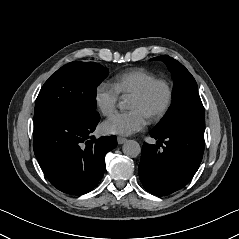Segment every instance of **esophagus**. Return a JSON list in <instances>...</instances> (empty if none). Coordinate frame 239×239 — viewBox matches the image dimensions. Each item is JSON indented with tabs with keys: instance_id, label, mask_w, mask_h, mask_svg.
<instances>
[{
	"instance_id": "obj_1",
	"label": "esophagus",
	"mask_w": 239,
	"mask_h": 239,
	"mask_svg": "<svg viewBox=\"0 0 239 239\" xmlns=\"http://www.w3.org/2000/svg\"><path fill=\"white\" fill-rule=\"evenodd\" d=\"M126 141H127V139L124 138V137H121V136H118V137H117V142H118V144H123V143H125Z\"/></svg>"
}]
</instances>
